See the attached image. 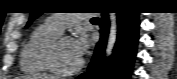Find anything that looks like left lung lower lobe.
<instances>
[{"label": "left lung lower lobe", "instance_id": "obj_1", "mask_svg": "<svg viewBox=\"0 0 177 79\" xmlns=\"http://www.w3.org/2000/svg\"><path fill=\"white\" fill-rule=\"evenodd\" d=\"M117 42L110 58L105 59L104 49L109 31L106 13L100 22L101 40L86 74L78 79H129L138 42L139 13L119 12Z\"/></svg>", "mask_w": 177, "mask_h": 79}]
</instances>
